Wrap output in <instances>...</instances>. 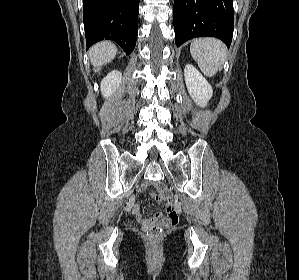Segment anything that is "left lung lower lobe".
<instances>
[{
    "label": "left lung lower lobe",
    "instance_id": "left-lung-lower-lobe-1",
    "mask_svg": "<svg viewBox=\"0 0 299 280\" xmlns=\"http://www.w3.org/2000/svg\"><path fill=\"white\" fill-rule=\"evenodd\" d=\"M175 43L200 36L222 40L228 47L234 29L233 0H175Z\"/></svg>",
    "mask_w": 299,
    "mask_h": 280
}]
</instances>
